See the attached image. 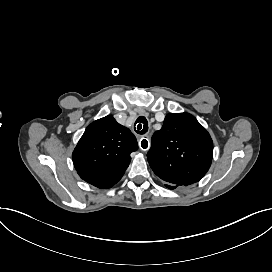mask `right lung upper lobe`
<instances>
[{
  "label": "right lung upper lobe",
  "mask_w": 272,
  "mask_h": 272,
  "mask_svg": "<svg viewBox=\"0 0 272 272\" xmlns=\"http://www.w3.org/2000/svg\"><path fill=\"white\" fill-rule=\"evenodd\" d=\"M138 149L134 134L108 115L91 123L73 151L79 176L100 189L111 188L129 166Z\"/></svg>",
  "instance_id": "right-lung-upper-lobe-1"
}]
</instances>
